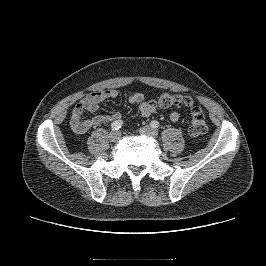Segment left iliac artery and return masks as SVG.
Returning a JSON list of instances; mask_svg holds the SVG:
<instances>
[{
    "label": "left iliac artery",
    "mask_w": 266,
    "mask_h": 266,
    "mask_svg": "<svg viewBox=\"0 0 266 266\" xmlns=\"http://www.w3.org/2000/svg\"><path fill=\"white\" fill-rule=\"evenodd\" d=\"M150 125H151L152 128H158L159 127V122L154 120V121H152L150 123Z\"/></svg>",
    "instance_id": "1"
}]
</instances>
